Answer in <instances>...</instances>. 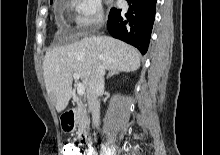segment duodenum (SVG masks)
I'll list each match as a JSON object with an SVG mask.
<instances>
[{
	"mask_svg": "<svg viewBox=\"0 0 220 155\" xmlns=\"http://www.w3.org/2000/svg\"><path fill=\"white\" fill-rule=\"evenodd\" d=\"M75 117H76V110L75 109L67 110L63 114V122L67 125H73L74 121H75ZM83 139L86 141V145H85L86 155H92L90 138L87 136H84Z\"/></svg>",
	"mask_w": 220,
	"mask_h": 155,
	"instance_id": "duodenum-1",
	"label": "duodenum"
}]
</instances>
